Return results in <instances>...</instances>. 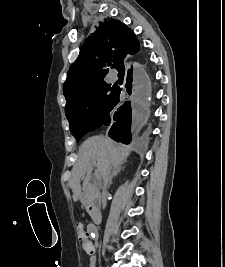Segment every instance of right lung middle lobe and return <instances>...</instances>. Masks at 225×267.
Returning a JSON list of instances; mask_svg holds the SVG:
<instances>
[{"mask_svg":"<svg viewBox=\"0 0 225 267\" xmlns=\"http://www.w3.org/2000/svg\"><path fill=\"white\" fill-rule=\"evenodd\" d=\"M117 90L116 86L104 81L86 87L67 101L65 114L70 123L71 133L77 141L102 124Z\"/></svg>","mask_w":225,"mask_h":267,"instance_id":"dd1d6c3e","label":"right lung middle lobe"}]
</instances>
